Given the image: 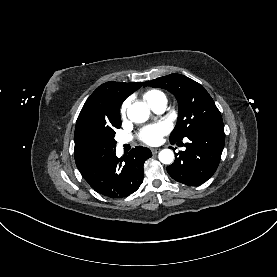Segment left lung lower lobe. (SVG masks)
<instances>
[{"mask_svg": "<svg viewBox=\"0 0 277 277\" xmlns=\"http://www.w3.org/2000/svg\"><path fill=\"white\" fill-rule=\"evenodd\" d=\"M187 138L190 142L186 143V150L179 152V157L176 155L167 171L180 183L198 186L206 182L219 165L225 143L223 122L204 126Z\"/></svg>", "mask_w": 277, "mask_h": 277, "instance_id": "left-lung-lower-lobe-1", "label": "left lung lower lobe"}]
</instances>
